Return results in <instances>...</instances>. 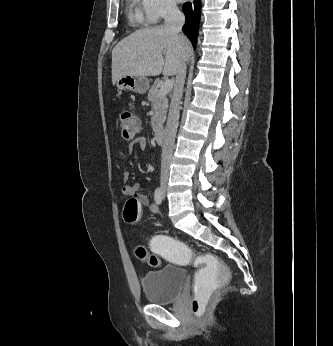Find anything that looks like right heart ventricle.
I'll return each mask as SVG.
<instances>
[{
  "mask_svg": "<svg viewBox=\"0 0 333 346\" xmlns=\"http://www.w3.org/2000/svg\"><path fill=\"white\" fill-rule=\"evenodd\" d=\"M138 1L128 0V18L132 24H144L147 22L143 11L138 5Z\"/></svg>",
  "mask_w": 333,
  "mask_h": 346,
  "instance_id": "obj_1",
  "label": "right heart ventricle"
}]
</instances>
